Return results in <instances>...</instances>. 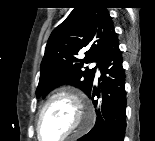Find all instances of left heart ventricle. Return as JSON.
<instances>
[{"instance_id": "1", "label": "left heart ventricle", "mask_w": 155, "mask_h": 141, "mask_svg": "<svg viewBox=\"0 0 155 141\" xmlns=\"http://www.w3.org/2000/svg\"><path fill=\"white\" fill-rule=\"evenodd\" d=\"M77 124L76 110L73 104L64 98L54 100L44 111L40 130L46 141L60 139Z\"/></svg>"}]
</instances>
